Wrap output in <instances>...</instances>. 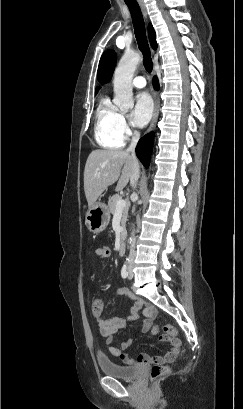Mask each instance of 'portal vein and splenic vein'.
<instances>
[{"label": "portal vein and splenic vein", "instance_id": "portal-vein-and-splenic-vein-1", "mask_svg": "<svg viewBox=\"0 0 243 409\" xmlns=\"http://www.w3.org/2000/svg\"><path fill=\"white\" fill-rule=\"evenodd\" d=\"M126 201L120 198L116 203V211H121L125 208Z\"/></svg>", "mask_w": 243, "mask_h": 409}]
</instances>
